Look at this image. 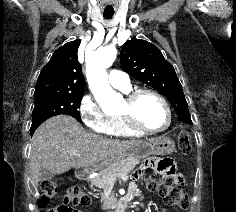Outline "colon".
<instances>
[{"label": "colon", "mask_w": 236, "mask_h": 212, "mask_svg": "<svg viewBox=\"0 0 236 212\" xmlns=\"http://www.w3.org/2000/svg\"><path fill=\"white\" fill-rule=\"evenodd\" d=\"M177 144L179 150L183 154H190L193 149L191 136L186 131H181L178 135ZM148 187L156 191L165 199L168 204H173L181 208H187L188 200L184 196L182 179L180 175L171 170L167 175L159 180L149 178L147 181ZM58 184L53 180H45L41 184V197L39 204L45 206L56 196ZM91 201L90 197L84 193L78 185L70 186L64 196V203L49 210V212H79L76 207L85 206Z\"/></svg>", "instance_id": "colon-1"}]
</instances>
